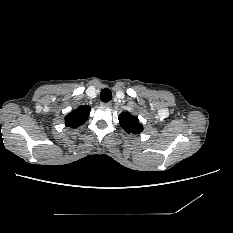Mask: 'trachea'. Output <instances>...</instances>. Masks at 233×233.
Wrapping results in <instances>:
<instances>
[{
  "label": "trachea",
  "instance_id": "3493384b",
  "mask_svg": "<svg viewBox=\"0 0 233 233\" xmlns=\"http://www.w3.org/2000/svg\"><path fill=\"white\" fill-rule=\"evenodd\" d=\"M100 99L102 102H109L112 99V92L108 88L103 89L100 93Z\"/></svg>",
  "mask_w": 233,
  "mask_h": 233
}]
</instances>
